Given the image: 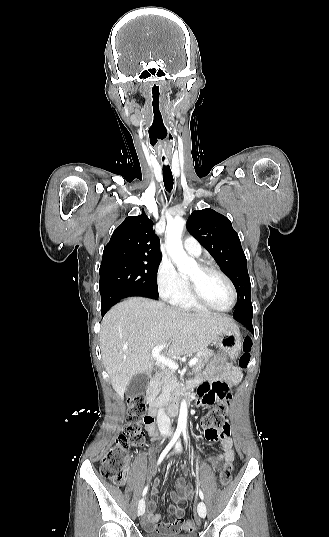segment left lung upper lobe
Returning <instances> with one entry per match:
<instances>
[{"label":"left lung upper lobe","instance_id":"1","mask_svg":"<svg viewBox=\"0 0 329 537\" xmlns=\"http://www.w3.org/2000/svg\"><path fill=\"white\" fill-rule=\"evenodd\" d=\"M187 227L233 282L238 296L234 314L253 312L247 260L230 220L207 208L193 211Z\"/></svg>","mask_w":329,"mask_h":537}]
</instances>
